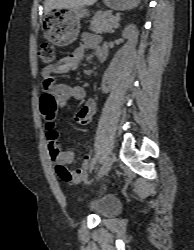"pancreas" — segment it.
Instances as JSON below:
<instances>
[{"label":"pancreas","instance_id":"obj_1","mask_svg":"<svg viewBox=\"0 0 194 250\" xmlns=\"http://www.w3.org/2000/svg\"><path fill=\"white\" fill-rule=\"evenodd\" d=\"M119 23L111 12H98L90 22V30L97 33H113Z\"/></svg>","mask_w":194,"mask_h":250}]
</instances>
